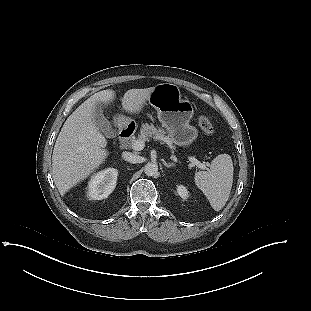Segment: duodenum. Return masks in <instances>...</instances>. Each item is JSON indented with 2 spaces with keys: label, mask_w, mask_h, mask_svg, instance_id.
I'll use <instances>...</instances> for the list:
<instances>
[{
  "label": "duodenum",
  "mask_w": 311,
  "mask_h": 311,
  "mask_svg": "<svg viewBox=\"0 0 311 311\" xmlns=\"http://www.w3.org/2000/svg\"><path fill=\"white\" fill-rule=\"evenodd\" d=\"M132 132H133V128L129 125L120 126L118 134H117V141H118L119 146H123L128 142V140L131 137Z\"/></svg>",
  "instance_id": "obj_1"
}]
</instances>
